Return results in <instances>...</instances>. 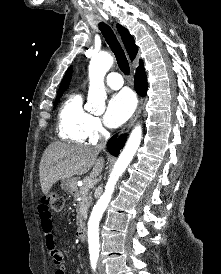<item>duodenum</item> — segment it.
Here are the masks:
<instances>
[{"mask_svg": "<svg viewBox=\"0 0 221 274\" xmlns=\"http://www.w3.org/2000/svg\"><path fill=\"white\" fill-rule=\"evenodd\" d=\"M77 238L81 243H85L87 240V228L84 224L78 229Z\"/></svg>", "mask_w": 221, "mask_h": 274, "instance_id": "duodenum-1", "label": "duodenum"}]
</instances>
